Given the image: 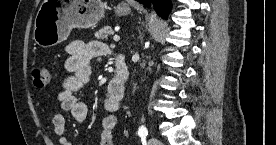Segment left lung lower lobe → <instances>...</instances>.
Wrapping results in <instances>:
<instances>
[{"mask_svg": "<svg viewBox=\"0 0 276 145\" xmlns=\"http://www.w3.org/2000/svg\"><path fill=\"white\" fill-rule=\"evenodd\" d=\"M142 3L145 6H150L151 0H136ZM153 3L160 2L159 10H158V15L162 16L165 18L168 15L169 9H170V4L168 0H152Z\"/></svg>", "mask_w": 276, "mask_h": 145, "instance_id": "obj_1", "label": "left lung lower lobe"}]
</instances>
